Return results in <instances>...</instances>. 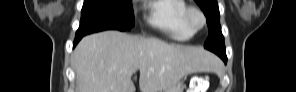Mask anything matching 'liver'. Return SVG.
I'll return each instance as SVG.
<instances>
[{
	"mask_svg": "<svg viewBox=\"0 0 296 92\" xmlns=\"http://www.w3.org/2000/svg\"><path fill=\"white\" fill-rule=\"evenodd\" d=\"M216 62L200 47L119 31L88 35L73 53L77 92H135L137 70L141 92H162L190 73L213 71Z\"/></svg>",
	"mask_w": 296,
	"mask_h": 92,
	"instance_id": "obj_1",
	"label": "liver"
}]
</instances>
